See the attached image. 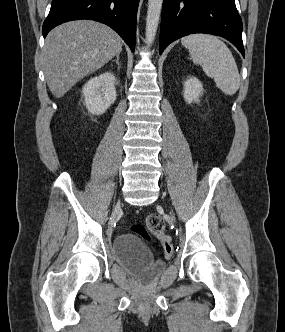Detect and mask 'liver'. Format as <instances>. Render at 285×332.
<instances>
[{"label": "liver", "instance_id": "1", "mask_svg": "<svg viewBox=\"0 0 285 332\" xmlns=\"http://www.w3.org/2000/svg\"><path fill=\"white\" fill-rule=\"evenodd\" d=\"M123 41L110 27L91 20L63 23L47 36L44 74L56 98L108 63L122 51Z\"/></svg>", "mask_w": 285, "mask_h": 332}]
</instances>
